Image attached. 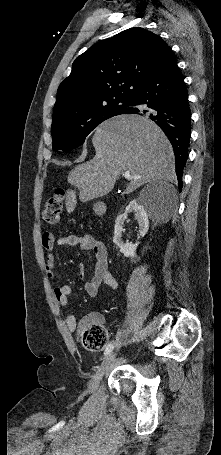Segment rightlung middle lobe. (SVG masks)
<instances>
[{
	"label": "right lung middle lobe",
	"instance_id": "right-lung-middle-lobe-1",
	"mask_svg": "<svg viewBox=\"0 0 221 455\" xmlns=\"http://www.w3.org/2000/svg\"><path fill=\"white\" fill-rule=\"evenodd\" d=\"M131 99L115 98L52 123L53 150L70 151L82 145L86 136L106 119L124 114Z\"/></svg>",
	"mask_w": 221,
	"mask_h": 455
}]
</instances>
